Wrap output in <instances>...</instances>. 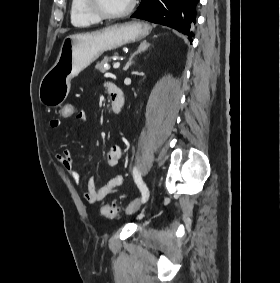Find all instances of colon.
Instances as JSON below:
<instances>
[{
	"instance_id": "1",
	"label": "colon",
	"mask_w": 280,
	"mask_h": 283,
	"mask_svg": "<svg viewBox=\"0 0 280 283\" xmlns=\"http://www.w3.org/2000/svg\"><path fill=\"white\" fill-rule=\"evenodd\" d=\"M78 110L75 103H62L59 111L60 119H73ZM101 212L105 218L113 219L118 214V207L105 205L102 207Z\"/></svg>"
}]
</instances>
